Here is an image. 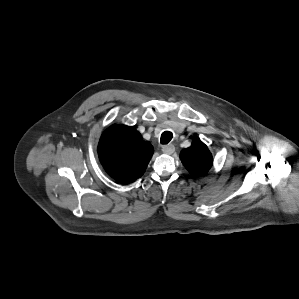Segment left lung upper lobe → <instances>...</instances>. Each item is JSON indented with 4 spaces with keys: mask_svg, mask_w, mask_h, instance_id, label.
<instances>
[{
    "mask_svg": "<svg viewBox=\"0 0 299 299\" xmlns=\"http://www.w3.org/2000/svg\"><path fill=\"white\" fill-rule=\"evenodd\" d=\"M180 159L191 175L199 177L208 172L213 163L212 155L207 146L200 140L182 150Z\"/></svg>",
    "mask_w": 299,
    "mask_h": 299,
    "instance_id": "left-lung-upper-lobe-1",
    "label": "left lung upper lobe"
}]
</instances>
